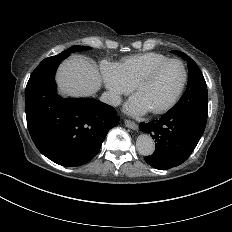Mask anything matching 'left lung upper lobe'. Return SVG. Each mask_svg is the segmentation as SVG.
<instances>
[{
    "label": "left lung upper lobe",
    "instance_id": "left-lung-upper-lobe-1",
    "mask_svg": "<svg viewBox=\"0 0 232 232\" xmlns=\"http://www.w3.org/2000/svg\"><path fill=\"white\" fill-rule=\"evenodd\" d=\"M188 62L189 81L179 102L168 112L185 113L206 123L208 114V91L205 79L198 65L185 53L171 51Z\"/></svg>",
    "mask_w": 232,
    "mask_h": 232
}]
</instances>
